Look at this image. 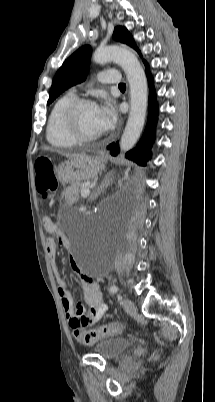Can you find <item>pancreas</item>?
Segmentation results:
<instances>
[{
  "label": "pancreas",
  "mask_w": 215,
  "mask_h": 402,
  "mask_svg": "<svg viewBox=\"0 0 215 402\" xmlns=\"http://www.w3.org/2000/svg\"><path fill=\"white\" fill-rule=\"evenodd\" d=\"M81 188H85L83 183H75L65 189L64 195L67 204L78 202Z\"/></svg>",
  "instance_id": "pancreas-1"
}]
</instances>
